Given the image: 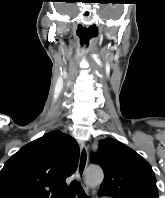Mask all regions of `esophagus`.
Wrapping results in <instances>:
<instances>
[{
	"mask_svg": "<svg viewBox=\"0 0 165 198\" xmlns=\"http://www.w3.org/2000/svg\"><path fill=\"white\" fill-rule=\"evenodd\" d=\"M87 165H88V148L84 143H82L80 145L79 161H78L76 175H77L78 181L83 185L85 190L87 188L84 185V176H85Z\"/></svg>",
	"mask_w": 165,
	"mask_h": 198,
	"instance_id": "34e87169",
	"label": "esophagus"
}]
</instances>
